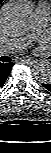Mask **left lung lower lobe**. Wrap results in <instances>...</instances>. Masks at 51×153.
<instances>
[{
	"label": "left lung lower lobe",
	"instance_id": "1",
	"mask_svg": "<svg viewBox=\"0 0 51 153\" xmlns=\"http://www.w3.org/2000/svg\"><path fill=\"white\" fill-rule=\"evenodd\" d=\"M46 89H48L49 91H51V83H47V84H42Z\"/></svg>",
	"mask_w": 51,
	"mask_h": 153
}]
</instances>
